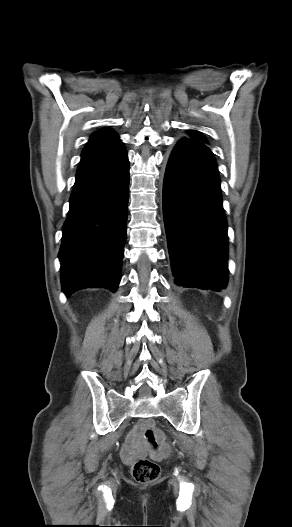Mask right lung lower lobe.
<instances>
[{
    "instance_id": "1",
    "label": "right lung lower lobe",
    "mask_w": 292,
    "mask_h": 527,
    "mask_svg": "<svg viewBox=\"0 0 292 527\" xmlns=\"http://www.w3.org/2000/svg\"><path fill=\"white\" fill-rule=\"evenodd\" d=\"M129 161L123 143L87 144L63 226L61 282L77 290L116 291L127 232Z\"/></svg>"
}]
</instances>
